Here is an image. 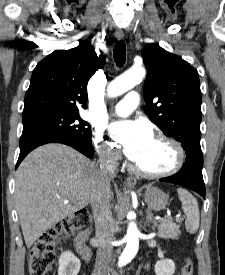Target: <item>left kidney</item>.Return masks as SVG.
I'll return each mask as SVG.
<instances>
[{
	"mask_svg": "<svg viewBox=\"0 0 225 275\" xmlns=\"http://www.w3.org/2000/svg\"><path fill=\"white\" fill-rule=\"evenodd\" d=\"M156 275H173L175 272V264L170 259H162L155 264Z\"/></svg>",
	"mask_w": 225,
	"mask_h": 275,
	"instance_id": "left-kidney-1",
	"label": "left kidney"
}]
</instances>
